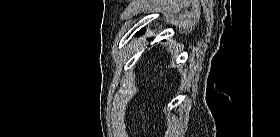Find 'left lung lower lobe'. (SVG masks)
Instances as JSON below:
<instances>
[{"label":"left lung lower lobe","mask_w":280,"mask_h":137,"mask_svg":"<svg viewBox=\"0 0 280 137\" xmlns=\"http://www.w3.org/2000/svg\"><path fill=\"white\" fill-rule=\"evenodd\" d=\"M143 29H141L139 32L136 33V35H141L143 33Z\"/></svg>","instance_id":"0a47b994"}]
</instances>
